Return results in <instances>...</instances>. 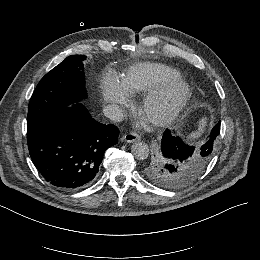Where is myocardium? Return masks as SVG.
Returning a JSON list of instances; mask_svg holds the SVG:
<instances>
[{
    "mask_svg": "<svg viewBox=\"0 0 260 260\" xmlns=\"http://www.w3.org/2000/svg\"><path fill=\"white\" fill-rule=\"evenodd\" d=\"M193 95L191 85L180 78L163 84L143 102L141 109L149 116L152 125L167 126L190 104Z\"/></svg>",
    "mask_w": 260,
    "mask_h": 260,
    "instance_id": "f54148a6",
    "label": "myocardium"
}]
</instances>
